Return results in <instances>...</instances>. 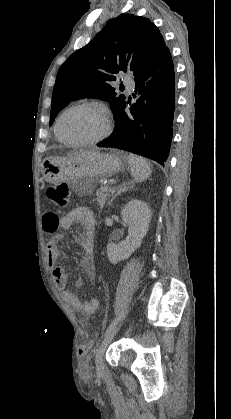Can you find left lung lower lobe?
Instances as JSON below:
<instances>
[{
	"label": "left lung lower lobe",
	"instance_id": "0a47b994",
	"mask_svg": "<svg viewBox=\"0 0 231 419\" xmlns=\"http://www.w3.org/2000/svg\"><path fill=\"white\" fill-rule=\"evenodd\" d=\"M137 101L125 113L124 102L114 114L115 128L99 147L127 150L164 165L172 141L175 75L170 51L135 79Z\"/></svg>",
	"mask_w": 231,
	"mask_h": 419
}]
</instances>
